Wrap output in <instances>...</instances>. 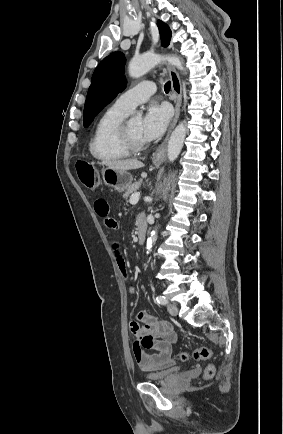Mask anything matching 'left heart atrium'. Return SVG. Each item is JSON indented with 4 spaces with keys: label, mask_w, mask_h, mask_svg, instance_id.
<instances>
[{
    "label": "left heart atrium",
    "mask_w": 283,
    "mask_h": 434,
    "mask_svg": "<svg viewBox=\"0 0 283 434\" xmlns=\"http://www.w3.org/2000/svg\"><path fill=\"white\" fill-rule=\"evenodd\" d=\"M171 118V110L165 105L153 104L142 120L141 136L144 141H153L162 136Z\"/></svg>",
    "instance_id": "1"
}]
</instances>
